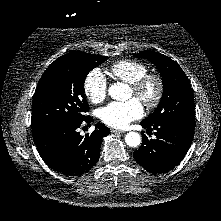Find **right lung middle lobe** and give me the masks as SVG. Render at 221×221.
<instances>
[{
  "label": "right lung middle lobe",
  "instance_id": "1",
  "mask_svg": "<svg viewBox=\"0 0 221 221\" xmlns=\"http://www.w3.org/2000/svg\"><path fill=\"white\" fill-rule=\"evenodd\" d=\"M108 57L84 52L68 53L51 63L42 75L32 103V135L50 127L86 117L84 96L87 74Z\"/></svg>",
  "mask_w": 221,
  "mask_h": 221
}]
</instances>
